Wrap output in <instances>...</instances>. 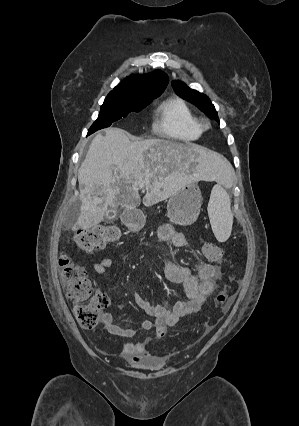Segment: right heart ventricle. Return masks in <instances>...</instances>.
Wrapping results in <instances>:
<instances>
[{
    "label": "right heart ventricle",
    "instance_id": "e07e8e85",
    "mask_svg": "<svg viewBox=\"0 0 299 426\" xmlns=\"http://www.w3.org/2000/svg\"><path fill=\"white\" fill-rule=\"evenodd\" d=\"M154 129L162 136L180 141H194L202 134L195 113L180 98L165 100L158 106Z\"/></svg>",
    "mask_w": 299,
    "mask_h": 426
}]
</instances>
